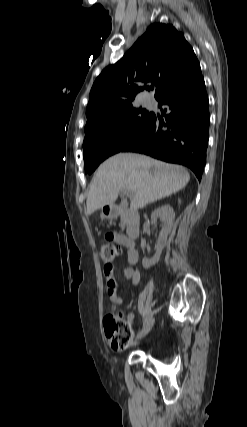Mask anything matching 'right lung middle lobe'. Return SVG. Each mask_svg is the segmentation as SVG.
Returning <instances> with one entry per match:
<instances>
[{"label":"right lung middle lobe","mask_w":247,"mask_h":427,"mask_svg":"<svg viewBox=\"0 0 247 427\" xmlns=\"http://www.w3.org/2000/svg\"><path fill=\"white\" fill-rule=\"evenodd\" d=\"M153 114L129 107L115 118L85 129L83 155L85 173L91 174L109 156L122 152L147 129Z\"/></svg>","instance_id":"1"}]
</instances>
